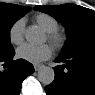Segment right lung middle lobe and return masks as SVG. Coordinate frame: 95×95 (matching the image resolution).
<instances>
[{
    "instance_id": "dd1d6c3e",
    "label": "right lung middle lobe",
    "mask_w": 95,
    "mask_h": 95,
    "mask_svg": "<svg viewBox=\"0 0 95 95\" xmlns=\"http://www.w3.org/2000/svg\"><path fill=\"white\" fill-rule=\"evenodd\" d=\"M29 9L30 7L15 4L0 8V57H5L14 52L10 43V29Z\"/></svg>"
}]
</instances>
